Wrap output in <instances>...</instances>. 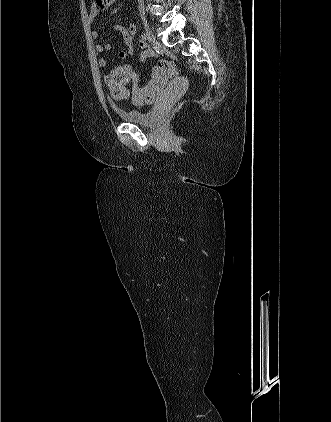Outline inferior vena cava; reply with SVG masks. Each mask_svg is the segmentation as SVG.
<instances>
[{
  "label": "inferior vena cava",
  "instance_id": "obj_1",
  "mask_svg": "<svg viewBox=\"0 0 331 422\" xmlns=\"http://www.w3.org/2000/svg\"><path fill=\"white\" fill-rule=\"evenodd\" d=\"M139 8L142 7L143 0H138Z\"/></svg>",
  "mask_w": 331,
  "mask_h": 422
}]
</instances>
